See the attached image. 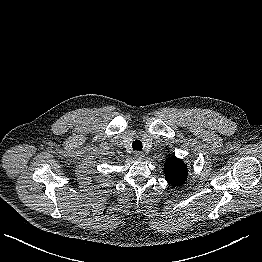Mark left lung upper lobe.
Listing matches in <instances>:
<instances>
[{"instance_id":"left-lung-upper-lobe-1","label":"left lung upper lobe","mask_w":262,"mask_h":262,"mask_svg":"<svg viewBox=\"0 0 262 262\" xmlns=\"http://www.w3.org/2000/svg\"><path fill=\"white\" fill-rule=\"evenodd\" d=\"M164 174L166 181L170 185L174 187L181 186L187 178V166L181 159L172 156L164 164Z\"/></svg>"}]
</instances>
